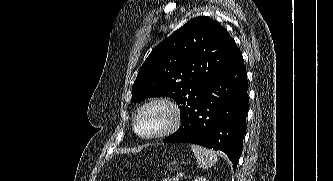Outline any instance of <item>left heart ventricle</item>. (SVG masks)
<instances>
[{"instance_id": "left-heart-ventricle-1", "label": "left heart ventricle", "mask_w": 333, "mask_h": 181, "mask_svg": "<svg viewBox=\"0 0 333 181\" xmlns=\"http://www.w3.org/2000/svg\"><path fill=\"white\" fill-rule=\"evenodd\" d=\"M168 112L161 106L146 109L137 121V130L140 134L150 135L162 130L168 123Z\"/></svg>"}]
</instances>
